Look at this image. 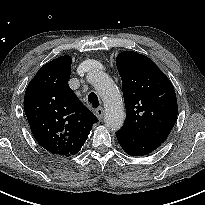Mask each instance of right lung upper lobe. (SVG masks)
<instances>
[{"label": "right lung upper lobe", "mask_w": 205, "mask_h": 205, "mask_svg": "<svg viewBox=\"0 0 205 205\" xmlns=\"http://www.w3.org/2000/svg\"><path fill=\"white\" fill-rule=\"evenodd\" d=\"M70 72V56L50 61L30 81L24 97L34 138L50 153L63 157L80 151L98 121L69 87Z\"/></svg>", "instance_id": "cb5924a9"}]
</instances>
